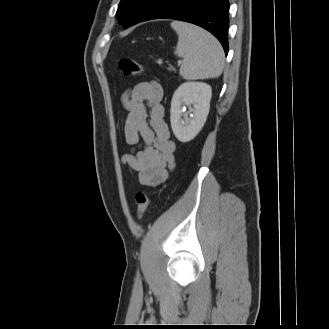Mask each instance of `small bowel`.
Returning <instances> with one entry per match:
<instances>
[{
	"label": "small bowel",
	"mask_w": 329,
	"mask_h": 329,
	"mask_svg": "<svg viewBox=\"0 0 329 329\" xmlns=\"http://www.w3.org/2000/svg\"><path fill=\"white\" fill-rule=\"evenodd\" d=\"M162 86L141 82L125 91L121 102L126 110L124 136L127 144L143 141V149L122 156V162L138 173L142 185L157 186L167 180L175 164V144L164 120Z\"/></svg>",
	"instance_id": "1"
}]
</instances>
